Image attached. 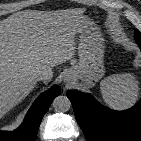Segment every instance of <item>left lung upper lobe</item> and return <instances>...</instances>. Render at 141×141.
<instances>
[{"mask_svg": "<svg viewBox=\"0 0 141 141\" xmlns=\"http://www.w3.org/2000/svg\"><path fill=\"white\" fill-rule=\"evenodd\" d=\"M135 39H141V33L138 30L135 31Z\"/></svg>", "mask_w": 141, "mask_h": 141, "instance_id": "left-lung-upper-lobe-1", "label": "left lung upper lobe"}]
</instances>
